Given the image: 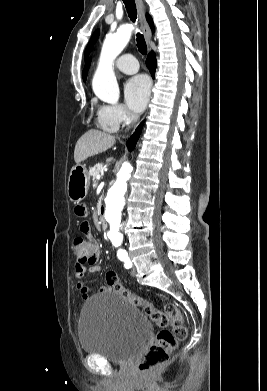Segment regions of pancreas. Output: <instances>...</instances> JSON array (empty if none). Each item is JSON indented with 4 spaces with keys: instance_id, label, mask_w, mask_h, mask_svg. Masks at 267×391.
<instances>
[{
    "instance_id": "obj_1",
    "label": "pancreas",
    "mask_w": 267,
    "mask_h": 391,
    "mask_svg": "<svg viewBox=\"0 0 267 391\" xmlns=\"http://www.w3.org/2000/svg\"><path fill=\"white\" fill-rule=\"evenodd\" d=\"M102 169H103V164L97 163L90 169L89 175L92 176L93 179L95 180L97 175L101 172Z\"/></svg>"
}]
</instances>
